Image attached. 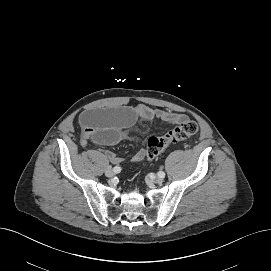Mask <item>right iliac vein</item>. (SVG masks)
<instances>
[{
  "instance_id": "63e3f726",
  "label": "right iliac vein",
  "mask_w": 271,
  "mask_h": 271,
  "mask_svg": "<svg viewBox=\"0 0 271 271\" xmlns=\"http://www.w3.org/2000/svg\"><path fill=\"white\" fill-rule=\"evenodd\" d=\"M105 175H106L107 177H113L114 171H113L111 168H107V169L105 170Z\"/></svg>"
}]
</instances>
